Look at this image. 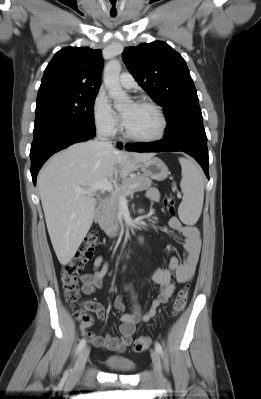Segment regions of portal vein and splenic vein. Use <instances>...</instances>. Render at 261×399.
<instances>
[{
    "mask_svg": "<svg viewBox=\"0 0 261 399\" xmlns=\"http://www.w3.org/2000/svg\"><path fill=\"white\" fill-rule=\"evenodd\" d=\"M98 190L108 191L110 193H114L113 185H112L111 182L108 181L107 178L103 179L99 183H96V184L92 185L88 189H83V188H79V187L75 188V191L77 193H87V194L94 193V192H96ZM126 202H127L126 197L125 196H120V204H125Z\"/></svg>",
    "mask_w": 261,
    "mask_h": 399,
    "instance_id": "1",
    "label": "portal vein and splenic vein"
}]
</instances>
